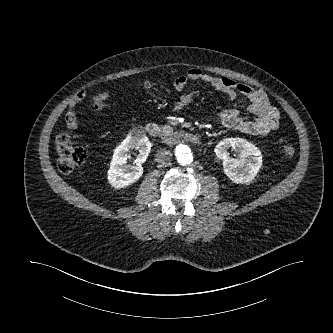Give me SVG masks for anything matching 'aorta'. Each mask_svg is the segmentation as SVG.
<instances>
[{
    "label": "aorta",
    "instance_id": "762f6f07",
    "mask_svg": "<svg viewBox=\"0 0 333 333\" xmlns=\"http://www.w3.org/2000/svg\"><path fill=\"white\" fill-rule=\"evenodd\" d=\"M175 155L178 162L182 165H189L193 161V155L187 145H178L175 149Z\"/></svg>",
    "mask_w": 333,
    "mask_h": 333
}]
</instances>
